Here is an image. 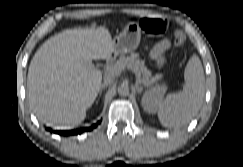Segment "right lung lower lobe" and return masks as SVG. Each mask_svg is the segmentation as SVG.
<instances>
[{"mask_svg":"<svg viewBox=\"0 0 243 167\" xmlns=\"http://www.w3.org/2000/svg\"><path fill=\"white\" fill-rule=\"evenodd\" d=\"M96 126H97V124H94L92 127H88V128L82 129V130L77 129V130H70V131H56V133L60 134V135H76V134L82 133L84 130H86V131L92 130Z\"/></svg>","mask_w":243,"mask_h":167,"instance_id":"1","label":"right lung lower lobe"}]
</instances>
